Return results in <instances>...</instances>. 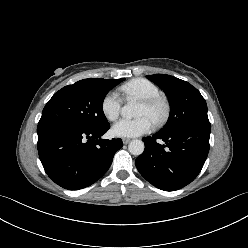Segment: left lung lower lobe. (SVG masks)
Segmentation results:
<instances>
[{
  "label": "left lung lower lobe",
  "instance_id": "0a47b994",
  "mask_svg": "<svg viewBox=\"0 0 248 248\" xmlns=\"http://www.w3.org/2000/svg\"><path fill=\"white\" fill-rule=\"evenodd\" d=\"M210 130V122H199L169 134L144 137L145 150L135 161L138 171L161 190L183 188L197 177L206 161ZM157 139L165 145L158 144Z\"/></svg>",
  "mask_w": 248,
  "mask_h": 248
}]
</instances>
